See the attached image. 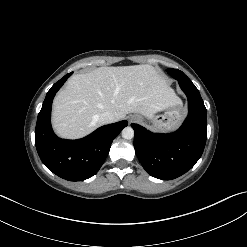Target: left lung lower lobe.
<instances>
[{
    "mask_svg": "<svg viewBox=\"0 0 247 247\" xmlns=\"http://www.w3.org/2000/svg\"><path fill=\"white\" fill-rule=\"evenodd\" d=\"M181 89L187 95L189 113L174 133L157 134L137 124L134 148L143 168L153 177L175 179L190 170L201 157L207 137V115L198 89L186 75H179Z\"/></svg>",
    "mask_w": 247,
    "mask_h": 247,
    "instance_id": "1",
    "label": "left lung lower lobe"
}]
</instances>
